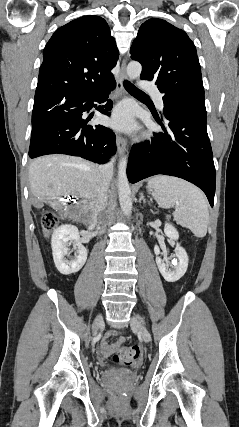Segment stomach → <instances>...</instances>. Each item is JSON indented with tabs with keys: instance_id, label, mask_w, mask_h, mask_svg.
Returning <instances> with one entry per match:
<instances>
[{
	"instance_id": "0dacf381",
	"label": "stomach",
	"mask_w": 239,
	"mask_h": 427,
	"mask_svg": "<svg viewBox=\"0 0 239 427\" xmlns=\"http://www.w3.org/2000/svg\"><path fill=\"white\" fill-rule=\"evenodd\" d=\"M148 190L151 191L150 187H148Z\"/></svg>"
}]
</instances>
